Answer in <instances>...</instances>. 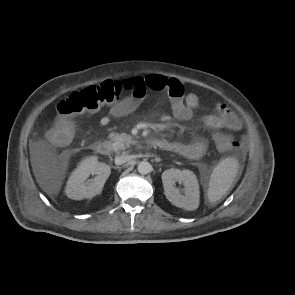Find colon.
I'll list each match as a JSON object with an SVG mask.
<instances>
[{
	"label": "colon",
	"instance_id": "1",
	"mask_svg": "<svg viewBox=\"0 0 295 295\" xmlns=\"http://www.w3.org/2000/svg\"><path fill=\"white\" fill-rule=\"evenodd\" d=\"M133 90L134 86L130 80H114L73 92L58 104L57 112L60 118L48 131V139L58 146L67 145L73 136L71 117L97 111L106 105H114L121 101L124 95L132 94ZM213 139L221 151L233 152L241 149V143L225 133H216Z\"/></svg>",
	"mask_w": 295,
	"mask_h": 295
}]
</instances>
